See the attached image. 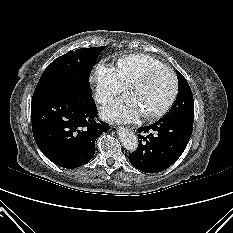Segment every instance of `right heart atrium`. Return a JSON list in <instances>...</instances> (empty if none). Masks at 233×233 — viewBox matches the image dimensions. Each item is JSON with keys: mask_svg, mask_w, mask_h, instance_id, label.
Returning a JSON list of instances; mask_svg holds the SVG:
<instances>
[{"mask_svg": "<svg viewBox=\"0 0 233 233\" xmlns=\"http://www.w3.org/2000/svg\"><path fill=\"white\" fill-rule=\"evenodd\" d=\"M96 99L99 103H107L117 94L127 89V85L121 79L118 71L106 63H99L93 73Z\"/></svg>", "mask_w": 233, "mask_h": 233, "instance_id": "right-heart-atrium-1", "label": "right heart atrium"}]
</instances>
